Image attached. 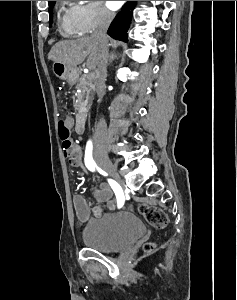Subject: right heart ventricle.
<instances>
[{
  "instance_id": "1",
  "label": "right heart ventricle",
  "mask_w": 237,
  "mask_h": 300,
  "mask_svg": "<svg viewBox=\"0 0 237 300\" xmlns=\"http://www.w3.org/2000/svg\"><path fill=\"white\" fill-rule=\"evenodd\" d=\"M59 25L61 31L65 35H74L77 32L74 22H73V17L71 13V8H61L59 11Z\"/></svg>"
}]
</instances>
